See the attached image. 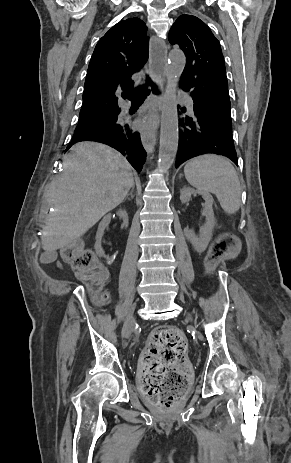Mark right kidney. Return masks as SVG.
Segmentation results:
<instances>
[{
  "instance_id": "obj_1",
  "label": "right kidney",
  "mask_w": 291,
  "mask_h": 463,
  "mask_svg": "<svg viewBox=\"0 0 291 463\" xmlns=\"http://www.w3.org/2000/svg\"><path fill=\"white\" fill-rule=\"evenodd\" d=\"M117 215L120 216L123 219V226L127 227L128 226V214H127L126 210L120 209L117 212ZM110 221H111V214H108L99 223L98 230H97V233H96L95 250H96V253L100 257L104 256V251H103V248L101 246V240H102V237L104 235V230L108 226Z\"/></svg>"
}]
</instances>
